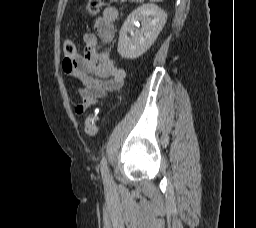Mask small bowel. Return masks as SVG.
Here are the masks:
<instances>
[{
    "label": "small bowel",
    "mask_w": 256,
    "mask_h": 228,
    "mask_svg": "<svg viewBox=\"0 0 256 228\" xmlns=\"http://www.w3.org/2000/svg\"><path fill=\"white\" fill-rule=\"evenodd\" d=\"M117 18L116 7L105 8L94 23L95 34L84 36L83 53L77 52L75 57L63 60V70L81 84L78 89L81 103L75 109L77 114H82L107 93L118 92L124 86L126 71L99 47V43L107 44L114 39Z\"/></svg>",
    "instance_id": "obj_1"
}]
</instances>
